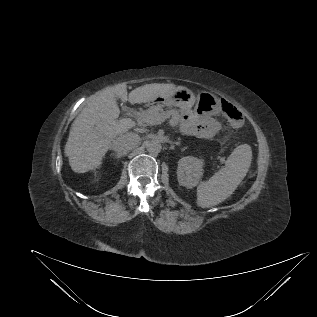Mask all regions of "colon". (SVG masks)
<instances>
[{"mask_svg": "<svg viewBox=\"0 0 317 317\" xmlns=\"http://www.w3.org/2000/svg\"><path fill=\"white\" fill-rule=\"evenodd\" d=\"M223 114L235 125L241 126L243 122L242 114L232 104L223 102L221 105Z\"/></svg>", "mask_w": 317, "mask_h": 317, "instance_id": "5ec220e1", "label": "colon"}]
</instances>
